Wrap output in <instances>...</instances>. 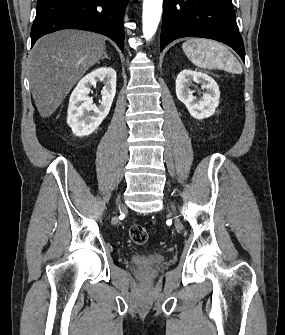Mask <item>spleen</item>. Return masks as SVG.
Here are the masks:
<instances>
[{"label": "spleen", "instance_id": "obj_1", "mask_svg": "<svg viewBox=\"0 0 285 335\" xmlns=\"http://www.w3.org/2000/svg\"><path fill=\"white\" fill-rule=\"evenodd\" d=\"M182 48L188 60H191L192 64H195L198 68H208V70H212V68H222V70L229 68V70H233V62L238 64L227 48L221 46L218 42H214V40L188 38ZM238 66L241 74L242 68L240 64Z\"/></svg>", "mask_w": 285, "mask_h": 335}]
</instances>
